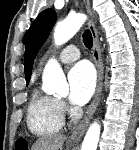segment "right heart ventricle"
Instances as JSON below:
<instances>
[{
  "label": "right heart ventricle",
  "instance_id": "obj_1",
  "mask_svg": "<svg viewBox=\"0 0 139 150\" xmlns=\"http://www.w3.org/2000/svg\"><path fill=\"white\" fill-rule=\"evenodd\" d=\"M64 123L61 103L38 88L31 92L27 107V126L35 135L58 132Z\"/></svg>",
  "mask_w": 139,
  "mask_h": 150
}]
</instances>
